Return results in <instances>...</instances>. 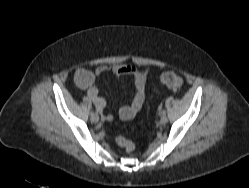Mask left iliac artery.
I'll use <instances>...</instances> for the list:
<instances>
[{
    "instance_id": "obj_1",
    "label": "left iliac artery",
    "mask_w": 249,
    "mask_h": 188,
    "mask_svg": "<svg viewBox=\"0 0 249 188\" xmlns=\"http://www.w3.org/2000/svg\"><path fill=\"white\" fill-rule=\"evenodd\" d=\"M161 113H162L163 115H165V114H166V111H165V110H163Z\"/></svg>"
}]
</instances>
